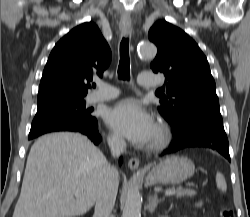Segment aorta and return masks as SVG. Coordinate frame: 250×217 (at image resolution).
<instances>
[{
  "instance_id": "1",
  "label": "aorta",
  "mask_w": 250,
  "mask_h": 217,
  "mask_svg": "<svg viewBox=\"0 0 250 217\" xmlns=\"http://www.w3.org/2000/svg\"><path fill=\"white\" fill-rule=\"evenodd\" d=\"M157 49L152 43H143L138 48V54L143 58H154ZM142 199L137 187L128 192L122 217H141Z\"/></svg>"
}]
</instances>
